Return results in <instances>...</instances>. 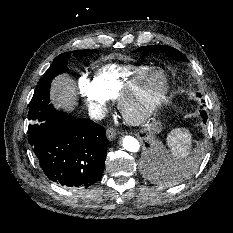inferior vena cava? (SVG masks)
Returning a JSON list of instances; mask_svg holds the SVG:
<instances>
[{
  "mask_svg": "<svg viewBox=\"0 0 233 233\" xmlns=\"http://www.w3.org/2000/svg\"><path fill=\"white\" fill-rule=\"evenodd\" d=\"M91 118L101 120L105 117V111L99 105H95L89 112Z\"/></svg>",
  "mask_w": 233,
  "mask_h": 233,
  "instance_id": "obj_1",
  "label": "inferior vena cava"
}]
</instances>
